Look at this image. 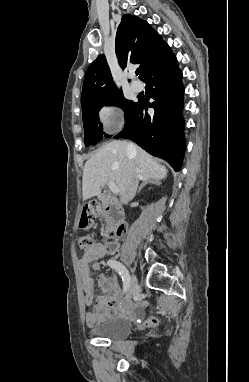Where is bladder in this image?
<instances>
[{"label": "bladder", "instance_id": "1", "mask_svg": "<svg viewBox=\"0 0 249 382\" xmlns=\"http://www.w3.org/2000/svg\"><path fill=\"white\" fill-rule=\"evenodd\" d=\"M132 328L133 325L129 319L116 318L105 320L95 325L91 333L98 338L123 340L130 335Z\"/></svg>", "mask_w": 249, "mask_h": 382}]
</instances>
